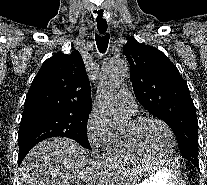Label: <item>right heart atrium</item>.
Listing matches in <instances>:
<instances>
[{"instance_id": "1", "label": "right heart atrium", "mask_w": 207, "mask_h": 185, "mask_svg": "<svg viewBox=\"0 0 207 185\" xmlns=\"http://www.w3.org/2000/svg\"><path fill=\"white\" fill-rule=\"evenodd\" d=\"M113 133L107 117L99 109L94 108L86 123V137L94 149L104 146Z\"/></svg>"}]
</instances>
